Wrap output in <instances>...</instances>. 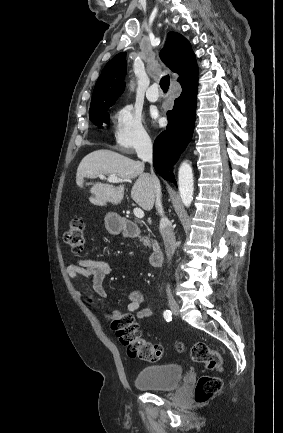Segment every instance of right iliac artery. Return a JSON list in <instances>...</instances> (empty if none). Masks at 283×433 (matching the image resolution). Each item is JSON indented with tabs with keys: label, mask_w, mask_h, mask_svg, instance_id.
<instances>
[{
	"label": "right iliac artery",
	"mask_w": 283,
	"mask_h": 433,
	"mask_svg": "<svg viewBox=\"0 0 283 433\" xmlns=\"http://www.w3.org/2000/svg\"><path fill=\"white\" fill-rule=\"evenodd\" d=\"M163 316L167 322H170L172 320V313L170 310H165Z\"/></svg>",
	"instance_id": "right-iliac-artery-1"
}]
</instances>
